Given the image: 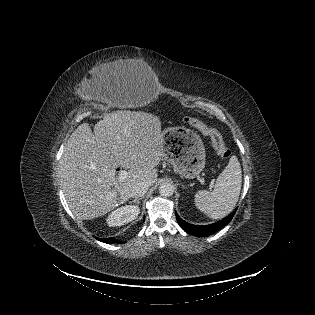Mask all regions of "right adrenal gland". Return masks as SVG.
<instances>
[{
	"mask_svg": "<svg viewBox=\"0 0 315 315\" xmlns=\"http://www.w3.org/2000/svg\"><path fill=\"white\" fill-rule=\"evenodd\" d=\"M142 198H135L134 200H132V203H136L137 205H139V201L141 200Z\"/></svg>",
	"mask_w": 315,
	"mask_h": 315,
	"instance_id": "2a0ac1e0",
	"label": "right adrenal gland"
}]
</instances>
